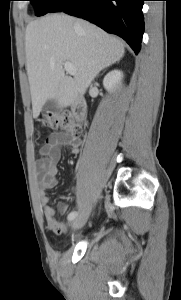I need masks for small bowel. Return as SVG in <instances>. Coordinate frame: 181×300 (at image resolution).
Wrapping results in <instances>:
<instances>
[{
    "label": "small bowel",
    "instance_id": "small-bowel-1",
    "mask_svg": "<svg viewBox=\"0 0 181 300\" xmlns=\"http://www.w3.org/2000/svg\"><path fill=\"white\" fill-rule=\"evenodd\" d=\"M68 145L73 154L79 152L80 146L76 142H69L60 133L51 134L46 143L40 148V158L36 165V180L38 183V196L43 207V214L48 227L57 234L65 232L66 225L55 216V210L49 205L47 190L57 185V164L61 158L62 148ZM59 210L64 212L66 204L61 203Z\"/></svg>",
    "mask_w": 181,
    "mask_h": 300
}]
</instances>
